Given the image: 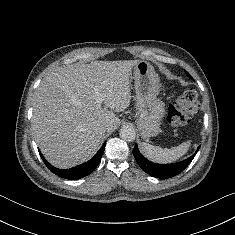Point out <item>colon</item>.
<instances>
[{"label":"colon","instance_id":"5ec220e1","mask_svg":"<svg viewBox=\"0 0 235 235\" xmlns=\"http://www.w3.org/2000/svg\"><path fill=\"white\" fill-rule=\"evenodd\" d=\"M198 107L196 91L187 89L169 105L167 119L174 127L185 126L191 122Z\"/></svg>","mask_w":235,"mask_h":235}]
</instances>
